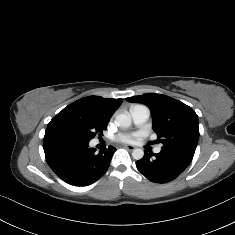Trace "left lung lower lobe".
I'll use <instances>...</instances> for the list:
<instances>
[{
  "label": "left lung lower lobe",
  "mask_w": 235,
  "mask_h": 235,
  "mask_svg": "<svg viewBox=\"0 0 235 235\" xmlns=\"http://www.w3.org/2000/svg\"><path fill=\"white\" fill-rule=\"evenodd\" d=\"M193 156L177 150L161 149L158 154L145 152L136 162L137 169L150 181L165 183L178 177L191 163Z\"/></svg>",
  "instance_id": "0a47b994"
}]
</instances>
